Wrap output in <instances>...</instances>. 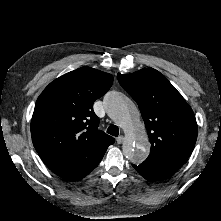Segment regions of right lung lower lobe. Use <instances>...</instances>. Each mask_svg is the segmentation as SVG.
Masks as SVG:
<instances>
[{"label": "right lung lower lobe", "instance_id": "1", "mask_svg": "<svg viewBox=\"0 0 221 221\" xmlns=\"http://www.w3.org/2000/svg\"><path fill=\"white\" fill-rule=\"evenodd\" d=\"M108 146L105 143L90 145L46 162V165L65 180L79 181L97 167Z\"/></svg>", "mask_w": 221, "mask_h": 221}]
</instances>
